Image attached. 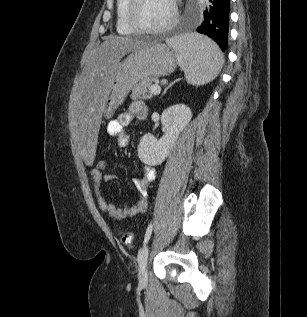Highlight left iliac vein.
<instances>
[{
  "instance_id": "4c4485c4",
  "label": "left iliac vein",
  "mask_w": 307,
  "mask_h": 317,
  "mask_svg": "<svg viewBox=\"0 0 307 317\" xmlns=\"http://www.w3.org/2000/svg\"><path fill=\"white\" fill-rule=\"evenodd\" d=\"M148 247L144 246L138 255V279L141 286H145L148 282Z\"/></svg>"
}]
</instances>
